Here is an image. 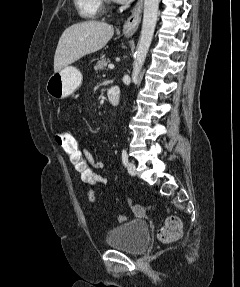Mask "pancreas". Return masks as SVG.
<instances>
[{
  "instance_id": "1",
  "label": "pancreas",
  "mask_w": 240,
  "mask_h": 287,
  "mask_svg": "<svg viewBox=\"0 0 240 287\" xmlns=\"http://www.w3.org/2000/svg\"><path fill=\"white\" fill-rule=\"evenodd\" d=\"M110 62H111L110 59H106V58L100 59L97 61L96 65L94 66V70L96 72L100 70H104L106 66L108 65V63Z\"/></svg>"
}]
</instances>
